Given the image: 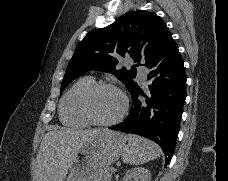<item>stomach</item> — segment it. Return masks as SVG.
I'll use <instances>...</instances> for the list:
<instances>
[{"mask_svg": "<svg viewBox=\"0 0 228 181\" xmlns=\"http://www.w3.org/2000/svg\"><path fill=\"white\" fill-rule=\"evenodd\" d=\"M127 135L115 131H97L89 141L77 151L69 169L68 177L63 181H105L104 169L118 161Z\"/></svg>", "mask_w": 228, "mask_h": 181, "instance_id": "obj_1", "label": "stomach"}]
</instances>
